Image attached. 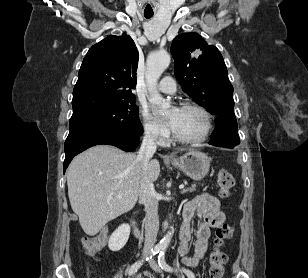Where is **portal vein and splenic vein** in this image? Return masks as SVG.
<instances>
[{"label":"portal vein and splenic vein","instance_id":"18ae733b","mask_svg":"<svg viewBox=\"0 0 308 278\" xmlns=\"http://www.w3.org/2000/svg\"><path fill=\"white\" fill-rule=\"evenodd\" d=\"M179 189L184 190V185H180ZM118 199H121V196H117Z\"/></svg>","mask_w":308,"mask_h":278}]
</instances>
